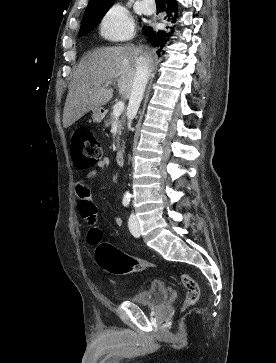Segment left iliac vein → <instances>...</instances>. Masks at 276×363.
<instances>
[{"instance_id":"left-iliac-vein-1","label":"left iliac vein","mask_w":276,"mask_h":363,"mask_svg":"<svg viewBox=\"0 0 276 363\" xmlns=\"http://www.w3.org/2000/svg\"><path fill=\"white\" fill-rule=\"evenodd\" d=\"M128 225H129V230H130L131 234L135 237H139L140 236V225H139V221L134 213H131Z\"/></svg>"}]
</instances>
